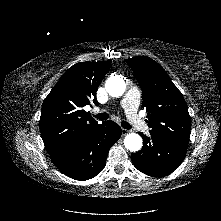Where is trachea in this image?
Returning a JSON list of instances; mask_svg holds the SVG:
<instances>
[{
	"label": "trachea",
	"instance_id": "obj_1",
	"mask_svg": "<svg viewBox=\"0 0 221 221\" xmlns=\"http://www.w3.org/2000/svg\"><path fill=\"white\" fill-rule=\"evenodd\" d=\"M94 117L96 119H99V120H106V119L109 118V115L107 113H99L97 115H94ZM121 125L125 129H131L132 128L131 125L128 122H126V121H122Z\"/></svg>",
	"mask_w": 221,
	"mask_h": 221
}]
</instances>
